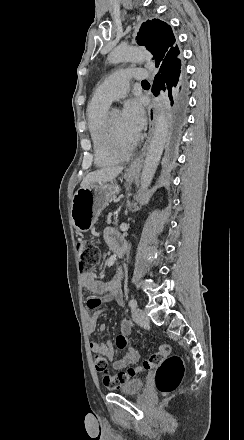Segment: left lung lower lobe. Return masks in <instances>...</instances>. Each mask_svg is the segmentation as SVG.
<instances>
[{"mask_svg": "<svg viewBox=\"0 0 244 440\" xmlns=\"http://www.w3.org/2000/svg\"><path fill=\"white\" fill-rule=\"evenodd\" d=\"M159 70L161 74L158 73L155 76L152 92L157 95L161 89L168 90L171 114L168 123L166 148L171 151L180 143L186 122L188 107L187 82L179 58L169 65L161 66Z\"/></svg>", "mask_w": 244, "mask_h": 440, "instance_id": "obj_1", "label": "left lung lower lobe"}]
</instances>
